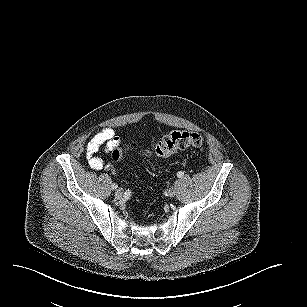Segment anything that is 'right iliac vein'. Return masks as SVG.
<instances>
[{"mask_svg": "<svg viewBox=\"0 0 307 307\" xmlns=\"http://www.w3.org/2000/svg\"><path fill=\"white\" fill-rule=\"evenodd\" d=\"M122 196H123V190L120 189V188L117 189V190L115 191V197H116L117 199H121Z\"/></svg>", "mask_w": 307, "mask_h": 307, "instance_id": "63e3f726", "label": "right iliac vein"}]
</instances>
